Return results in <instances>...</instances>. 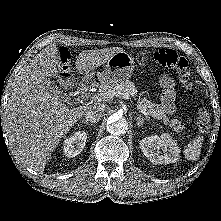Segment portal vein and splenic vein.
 Segmentation results:
<instances>
[{"label": "portal vein and splenic vein", "mask_w": 221, "mask_h": 221, "mask_svg": "<svg viewBox=\"0 0 221 221\" xmlns=\"http://www.w3.org/2000/svg\"><path fill=\"white\" fill-rule=\"evenodd\" d=\"M116 96H117V97H121V98H123V99H125V100H128V99H129V95H127V94H125V93H120V92H119ZM94 98L97 99L98 101H101V100H103L105 97H102L101 94H98V95H96ZM140 111H141V113H143L145 116L148 115V113H147L146 111H143V110H140Z\"/></svg>", "instance_id": "portal-vein-and-splenic-vein-1"}]
</instances>
